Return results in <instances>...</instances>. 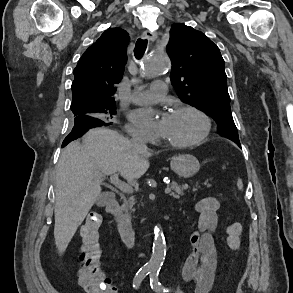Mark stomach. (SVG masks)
<instances>
[{
    "mask_svg": "<svg viewBox=\"0 0 293 293\" xmlns=\"http://www.w3.org/2000/svg\"><path fill=\"white\" fill-rule=\"evenodd\" d=\"M170 165L171 169L181 178H190L200 169L198 159L191 154L175 156Z\"/></svg>",
    "mask_w": 293,
    "mask_h": 293,
    "instance_id": "stomach-1",
    "label": "stomach"
}]
</instances>
